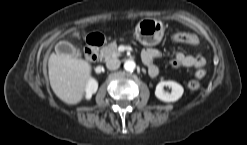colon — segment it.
Listing matches in <instances>:
<instances>
[{
	"label": "colon",
	"instance_id": "5ec220e1",
	"mask_svg": "<svg viewBox=\"0 0 247 145\" xmlns=\"http://www.w3.org/2000/svg\"><path fill=\"white\" fill-rule=\"evenodd\" d=\"M184 38L185 37L181 33H175L172 36V39L175 40V41H179V40H182ZM205 73H206V70L204 68L198 70L196 72V74H195L196 79L191 80V81L188 82V84H187L188 89L189 90H197V89H199L200 86H201L200 79L204 77Z\"/></svg>",
	"mask_w": 247,
	"mask_h": 145
}]
</instances>
